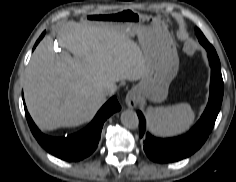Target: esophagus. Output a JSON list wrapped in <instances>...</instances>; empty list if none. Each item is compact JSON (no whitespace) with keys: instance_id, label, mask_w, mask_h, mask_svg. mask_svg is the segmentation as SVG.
Listing matches in <instances>:
<instances>
[{"instance_id":"esophagus-1","label":"esophagus","mask_w":236,"mask_h":182,"mask_svg":"<svg viewBox=\"0 0 236 182\" xmlns=\"http://www.w3.org/2000/svg\"><path fill=\"white\" fill-rule=\"evenodd\" d=\"M125 102L128 107L135 108L139 102V98L136 91L134 90L129 91L128 94L126 95Z\"/></svg>"}]
</instances>
